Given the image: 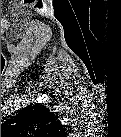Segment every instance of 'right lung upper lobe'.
<instances>
[{"label": "right lung upper lobe", "instance_id": "1", "mask_svg": "<svg viewBox=\"0 0 121 137\" xmlns=\"http://www.w3.org/2000/svg\"><path fill=\"white\" fill-rule=\"evenodd\" d=\"M1 127L13 135H49L62 128V125L49 109L37 103L22 109Z\"/></svg>", "mask_w": 121, "mask_h": 137}]
</instances>
